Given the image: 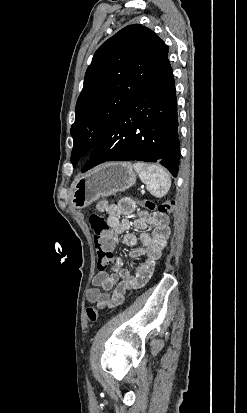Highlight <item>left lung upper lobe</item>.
<instances>
[{
	"label": "left lung upper lobe",
	"instance_id": "left-lung-upper-lobe-1",
	"mask_svg": "<svg viewBox=\"0 0 247 413\" xmlns=\"http://www.w3.org/2000/svg\"><path fill=\"white\" fill-rule=\"evenodd\" d=\"M168 46L150 29L126 26L95 52L76 104L71 162L97 145L110 125L167 58Z\"/></svg>",
	"mask_w": 247,
	"mask_h": 413
}]
</instances>
